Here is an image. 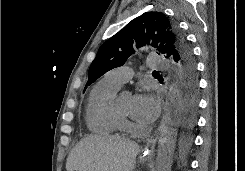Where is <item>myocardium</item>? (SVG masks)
<instances>
[{"label":"myocardium","instance_id":"1","mask_svg":"<svg viewBox=\"0 0 245 171\" xmlns=\"http://www.w3.org/2000/svg\"><path fill=\"white\" fill-rule=\"evenodd\" d=\"M117 113L119 114V116L122 118V119H127L128 118V115L127 114H124L123 112H121L120 110L116 109Z\"/></svg>","mask_w":245,"mask_h":171}]
</instances>
